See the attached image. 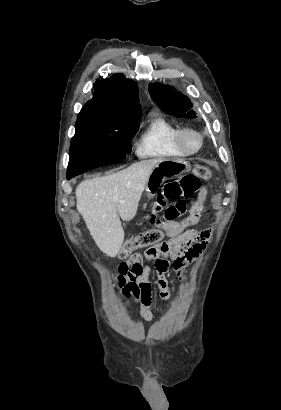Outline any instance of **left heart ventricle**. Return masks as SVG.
I'll return each mask as SVG.
<instances>
[{
    "mask_svg": "<svg viewBox=\"0 0 281 410\" xmlns=\"http://www.w3.org/2000/svg\"><path fill=\"white\" fill-rule=\"evenodd\" d=\"M197 143H198V141H197V138H196V137H194V136H189V137H188V144H189L191 147H195V146L197 145Z\"/></svg>",
    "mask_w": 281,
    "mask_h": 410,
    "instance_id": "left-heart-ventricle-1",
    "label": "left heart ventricle"
}]
</instances>
